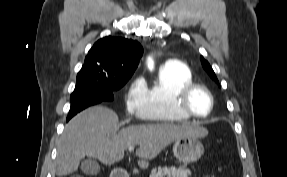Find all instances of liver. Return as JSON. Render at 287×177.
Returning <instances> with one entry per match:
<instances>
[{
  "label": "liver",
  "instance_id": "1",
  "mask_svg": "<svg viewBox=\"0 0 287 177\" xmlns=\"http://www.w3.org/2000/svg\"><path fill=\"white\" fill-rule=\"evenodd\" d=\"M118 122L117 114L103 106L88 108L72 118L65 126L58 145L57 176L76 172L85 156L97 158L105 165L119 162L129 146H138V165L147 168L149 160L177 139L208 135L205 128L187 123L132 125L118 131Z\"/></svg>",
  "mask_w": 287,
  "mask_h": 177
}]
</instances>
